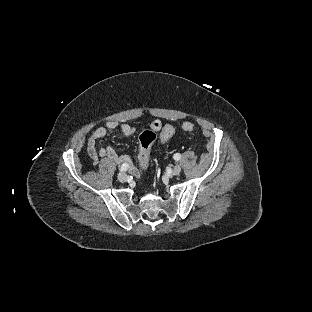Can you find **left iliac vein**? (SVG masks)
I'll return each instance as SVG.
<instances>
[{
    "mask_svg": "<svg viewBox=\"0 0 312 312\" xmlns=\"http://www.w3.org/2000/svg\"><path fill=\"white\" fill-rule=\"evenodd\" d=\"M181 172V167L179 165L174 166L173 170H172V174L173 175H178Z\"/></svg>",
    "mask_w": 312,
    "mask_h": 312,
    "instance_id": "obj_1",
    "label": "left iliac vein"
}]
</instances>
